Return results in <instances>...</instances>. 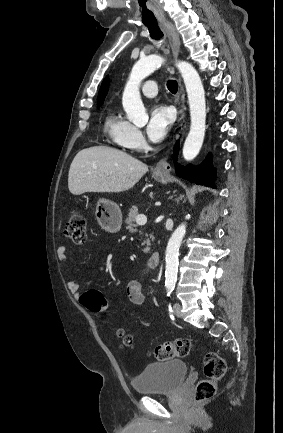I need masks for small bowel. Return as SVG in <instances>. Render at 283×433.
I'll use <instances>...</instances> for the list:
<instances>
[{
    "label": "small bowel",
    "mask_w": 283,
    "mask_h": 433,
    "mask_svg": "<svg viewBox=\"0 0 283 433\" xmlns=\"http://www.w3.org/2000/svg\"><path fill=\"white\" fill-rule=\"evenodd\" d=\"M57 257L61 263H66L68 261V254H67V247L66 246L62 245V246H59L57 248ZM67 287L75 299H80L81 294L79 291V286H78V283L74 279L70 278L68 280ZM126 292H127V296L129 298V300L131 301V303H133L135 305H142L144 303L145 297L143 294L142 285L139 281L131 280L127 284Z\"/></svg>",
    "instance_id": "obj_1"
}]
</instances>
